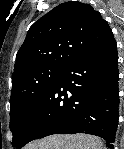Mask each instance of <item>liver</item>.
Returning a JSON list of instances; mask_svg holds the SVG:
<instances>
[{
	"label": "liver",
	"instance_id": "6515ba94",
	"mask_svg": "<svg viewBox=\"0 0 124 149\" xmlns=\"http://www.w3.org/2000/svg\"><path fill=\"white\" fill-rule=\"evenodd\" d=\"M97 137L86 135H55L36 141L26 149H101Z\"/></svg>",
	"mask_w": 124,
	"mask_h": 149
}]
</instances>
